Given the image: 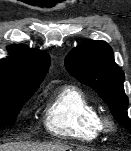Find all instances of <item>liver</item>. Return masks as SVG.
Here are the masks:
<instances>
[{"instance_id":"6515ba94","label":"liver","mask_w":131,"mask_h":151,"mask_svg":"<svg viewBox=\"0 0 131 151\" xmlns=\"http://www.w3.org/2000/svg\"><path fill=\"white\" fill-rule=\"evenodd\" d=\"M71 148L64 144H28L8 143L0 146V151H68ZM71 151V150H70Z\"/></svg>"}]
</instances>
